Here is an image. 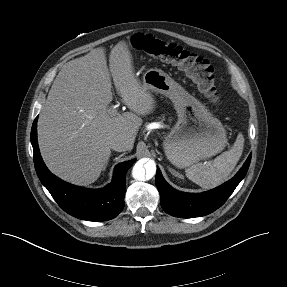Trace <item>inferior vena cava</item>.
Wrapping results in <instances>:
<instances>
[{
  "label": "inferior vena cava",
  "instance_id": "obj_1",
  "mask_svg": "<svg viewBox=\"0 0 287 287\" xmlns=\"http://www.w3.org/2000/svg\"><path fill=\"white\" fill-rule=\"evenodd\" d=\"M110 148L122 152V151H127L128 150V144L127 142L119 137H114L110 140L109 142Z\"/></svg>",
  "mask_w": 287,
  "mask_h": 287
}]
</instances>
